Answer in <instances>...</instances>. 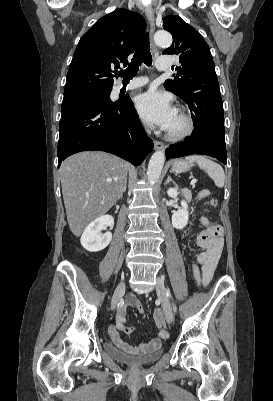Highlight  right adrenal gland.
Masks as SVG:
<instances>
[{"label":"right adrenal gland","instance_id":"obj_1","mask_svg":"<svg viewBox=\"0 0 273 401\" xmlns=\"http://www.w3.org/2000/svg\"><path fill=\"white\" fill-rule=\"evenodd\" d=\"M126 186H127V178H126V180H125V184H124V190H123V192H125V190H126ZM121 196H122V194H121Z\"/></svg>","mask_w":273,"mask_h":401}]
</instances>
